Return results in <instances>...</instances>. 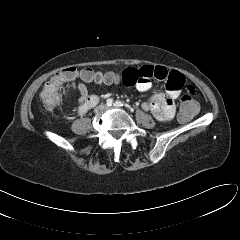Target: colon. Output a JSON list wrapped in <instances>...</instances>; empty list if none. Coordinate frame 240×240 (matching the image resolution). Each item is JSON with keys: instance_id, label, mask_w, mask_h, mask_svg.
<instances>
[{"instance_id": "colon-1", "label": "colon", "mask_w": 240, "mask_h": 240, "mask_svg": "<svg viewBox=\"0 0 240 240\" xmlns=\"http://www.w3.org/2000/svg\"><path fill=\"white\" fill-rule=\"evenodd\" d=\"M95 73L89 69L78 70L75 67H69L57 73L42 90L41 99L45 107L49 110L54 109L60 102L58 86L67 81L77 78H92ZM198 111L196 101L190 95H183L180 103L179 118L181 121H189L195 117Z\"/></svg>"}]
</instances>
